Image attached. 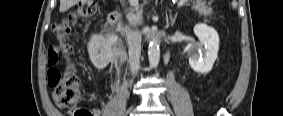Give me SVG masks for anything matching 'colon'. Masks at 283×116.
I'll return each mask as SVG.
<instances>
[{
    "instance_id": "5ec220e1",
    "label": "colon",
    "mask_w": 283,
    "mask_h": 116,
    "mask_svg": "<svg viewBox=\"0 0 283 116\" xmlns=\"http://www.w3.org/2000/svg\"><path fill=\"white\" fill-rule=\"evenodd\" d=\"M96 1H79L76 8L53 26V31L58 38V45L52 49V53L58 58L67 59L71 53V47L67 43L71 26L79 19L88 18L96 12ZM48 84L53 89V98L59 107H74L81 98L80 81L72 66H67L63 75L49 76ZM73 116H91V109L87 107H74Z\"/></svg>"
}]
</instances>
